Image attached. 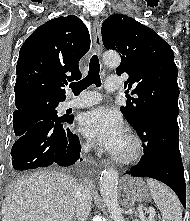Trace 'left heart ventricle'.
I'll return each instance as SVG.
<instances>
[{
    "mask_svg": "<svg viewBox=\"0 0 190 221\" xmlns=\"http://www.w3.org/2000/svg\"><path fill=\"white\" fill-rule=\"evenodd\" d=\"M133 145L126 134L122 137L120 142L111 150L121 155H127L132 151Z\"/></svg>",
    "mask_w": 190,
    "mask_h": 221,
    "instance_id": "obj_1",
    "label": "left heart ventricle"
}]
</instances>
